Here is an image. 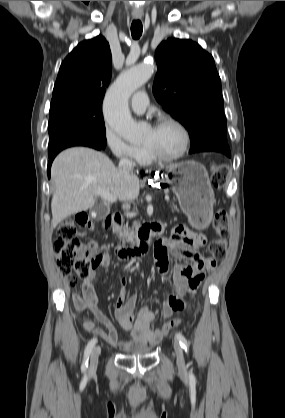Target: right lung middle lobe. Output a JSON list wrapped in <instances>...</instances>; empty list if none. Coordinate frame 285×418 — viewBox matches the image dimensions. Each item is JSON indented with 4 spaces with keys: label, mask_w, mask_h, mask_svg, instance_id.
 I'll use <instances>...</instances> for the list:
<instances>
[{
    "label": "right lung middle lobe",
    "mask_w": 285,
    "mask_h": 418,
    "mask_svg": "<svg viewBox=\"0 0 285 418\" xmlns=\"http://www.w3.org/2000/svg\"><path fill=\"white\" fill-rule=\"evenodd\" d=\"M48 156L79 142L106 147L102 105L60 102L50 105Z\"/></svg>",
    "instance_id": "dd1d6c3e"
}]
</instances>
